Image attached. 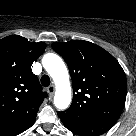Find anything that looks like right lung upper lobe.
I'll return each mask as SVG.
<instances>
[{"label": "right lung upper lobe", "mask_w": 136, "mask_h": 136, "mask_svg": "<svg viewBox=\"0 0 136 136\" xmlns=\"http://www.w3.org/2000/svg\"><path fill=\"white\" fill-rule=\"evenodd\" d=\"M43 42L11 35L0 40V136H16L30 128L47 96L31 64L45 50Z\"/></svg>", "instance_id": "right-lung-upper-lobe-1"}]
</instances>
